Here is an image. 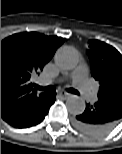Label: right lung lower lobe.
<instances>
[{
	"mask_svg": "<svg viewBox=\"0 0 122 154\" xmlns=\"http://www.w3.org/2000/svg\"><path fill=\"white\" fill-rule=\"evenodd\" d=\"M55 100V94H47L42 99L25 106L6 122L15 128H27L37 125L48 114L49 108Z\"/></svg>",
	"mask_w": 122,
	"mask_h": 154,
	"instance_id": "1",
	"label": "right lung lower lobe"
}]
</instances>
